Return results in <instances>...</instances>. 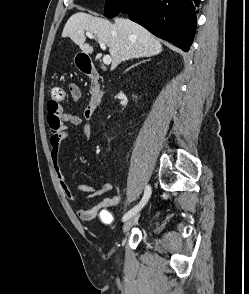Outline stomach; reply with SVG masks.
I'll return each instance as SVG.
<instances>
[{
	"instance_id": "0dacf381",
	"label": "stomach",
	"mask_w": 249,
	"mask_h": 294,
	"mask_svg": "<svg viewBox=\"0 0 249 294\" xmlns=\"http://www.w3.org/2000/svg\"><path fill=\"white\" fill-rule=\"evenodd\" d=\"M78 58H79V54L76 56V59H75V60L77 61V60H78Z\"/></svg>"
}]
</instances>
